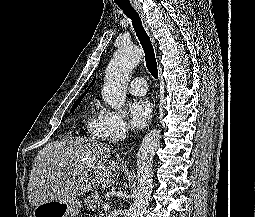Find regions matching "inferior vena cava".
Returning <instances> with one entry per match:
<instances>
[{
	"mask_svg": "<svg viewBox=\"0 0 255 217\" xmlns=\"http://www.w3.org/2000/svg\"><path fill=\"white\" fill-rule=\"evenodd\" d=\"M126 138V130L123 129L121 132H120V139L121 140H124Z\"/></svg>",
	"mask_w": 255,
	"mask_h": 217,
	"instance_id": "602c4592",
	"label": "inferior vena cava"
}]
</instances>
